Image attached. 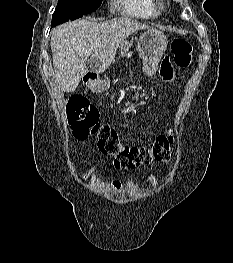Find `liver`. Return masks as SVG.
I'll return each instance as SVG.
<instances>
[{
	"label": "liver",
	"mask_w": 233,
	"mask_h": 263,
	"mask_svg": "<svg viewBox=\"0 0 233 263\" xmlns=\"http://www.w3.org/2000/svg\"><path fill=\"white\" fill-rule=\"evenodd\" d=\"M148 28L129 17L100 23L80 19L58 26L50 42L57 84L63 91L73 92L89 69L102 73L111 65L124 39ZM89 57L91 68L86 65Z\"/></svg>",
	"instance_id": "6515ba94"
}]
</instances>
